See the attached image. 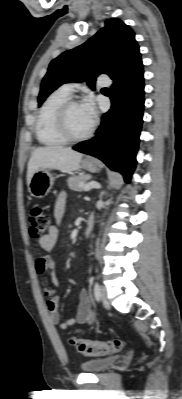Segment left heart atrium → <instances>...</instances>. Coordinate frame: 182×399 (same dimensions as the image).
<instances>
[{
	"label": "left heart atrium",
	"mask_w": 182,
	"mask_h": 399,
	"mask_svg": "<svg viewBox=\"0 0 182 399\" xmlns=\"http://www.w3.org/2000/svg\"><path fill=\"white\" fill-rule=\"evenodd\" d=\"M81 106H82L83 110L85 111V113L88 115V117L93 122L96 117V108H95L93 100L90 97L86 98L82 102Z\"/></svg>",
	"instance_id": "39dd6f15"
}]
</instances>
